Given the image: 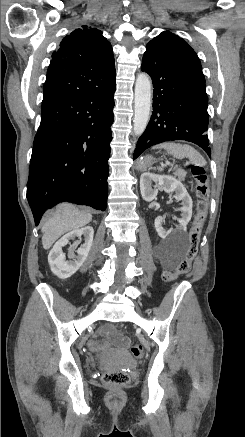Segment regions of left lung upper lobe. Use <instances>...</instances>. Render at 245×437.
Returning <instances> with one entry per match:
<instances>
[{"mask_svg":"<svg viewBox=\"0 0 245 437\" xmlns=\"http://www.w3.org/2000/svg\"><path fill=\"white\" fill-rule=\"evenodd\" d=\"M146 49L159 50L202 72L201 63L195 51L183 39L170 31L160 33L147 44Z\"/></svg>","mask_w":245,"mask_h":437,"instance_id":"obj_1","label":"left lung upper lobe"}]
</instances>
